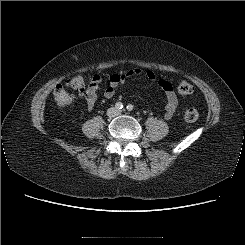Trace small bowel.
<instances>
[{
	"mask_svg": "<svg viewBox=\"0 0 245 245\" xmlns=\"http://www.w3.org/2000/svg\"><path fill=\"white\" fill-rule=\"evenodd\" d=\"M140 73L141 71L135 68L126 72L114 73L110 75L108 79V86L104 90V97L111 99L115 95L117 88L122 83H124L128 78L139 75ZM146 77L149 80H155V74L151 71L146 73ZM101 83L102 78L100 76H94L89 88L83 94L86 100L87 109L89 111H92L95 107L96 101L98 99V89ZM158 85L163 90L166 97L164 117L165 119L169 120L173 117L176 110L178 109L179 100L172 84L168 80L161 78L158 80Z\"/></svg>",
	"mask_w": 245,
	"mask_h": 245,
	"instance_id": "1",
	"label": "small bowel"
}]
</instances>
